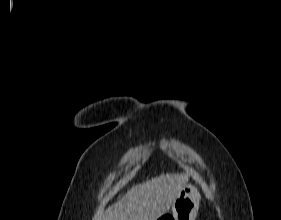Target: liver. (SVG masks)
Instances as JSON below:
<instances>
[{
	"mask_svg": "<svg viewBox=\"0 0 281 220\" xmlns=\"http://www.w3.org/2000/svg\"><path fill=\"white\" fill-rule=\"evenodd\" d=\"M188 182V174H161L133 186L94 220H157L167 213Z\"/></svg>",
	"mask_w": 281,
	"mask_h": 220,
	"instance_id": "6515ba94",
	"label": "liver"
}]
</instances>
